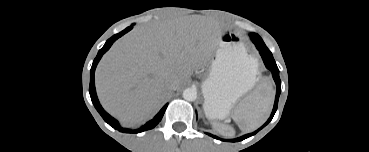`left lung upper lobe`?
<instances>
[{
	"label": "left lung upper lobe",
	"instance_id": "obj_1",
	"mask_svg": "<svg viewBox=\"0 0 369 152\" xmlns=\"http://www.w3.org/2000/svg\"><path fill=\"white\" fill-rule=\"evenodd\" d=\"M251 36H259L258 34H256V33H253V34H251Z\"/></svg>",
	"mask_w": 369,
	"mask_h": 152
}]
</instances>
